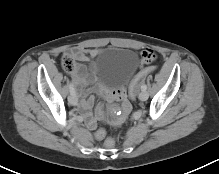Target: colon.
<instances>
[{"label":"colon","instance_id":"1","mask_svg":"<svg viewBox=\"0 0 219 174\" xmlns=\"http://www.w3.org/2000/svg\"><path fill=\"white\" fill-rule=\"evenodd\" d=\"M63 68L67 72H72L75 67V61L70 56H64L62 60ZM154 72V67L147 66L142 68L132 79L130 85H129V96L134 99L136 95L137 88L141 81L149 74ZM95 137L97 139H104L105 138V144L108 148H112L115 145V137L113 136H106V132L103 129H99L95 132Z\"/></svg>","mask_w":219,"mask_h":174}]
</instances>
